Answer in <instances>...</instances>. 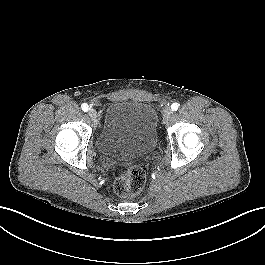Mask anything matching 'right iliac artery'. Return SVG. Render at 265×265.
Here are the masks:
<instances>
[{"instance_id": "1", "label": "right iliac artery", "mask_w": 265, "mask_h": 265, "mask_svg": "<svg viewBox=\"0 0 265 265\" xmlns=\"http://www.w3.org/2000/svg\"><path fill=\"white\" fill-rule=\"evenodd\" d=\"M81 108H82V110H83L84 112H87V111L89 110V106H88V104H86V103H83L82 106H81Z\"/></svg>"}]
</instances>
